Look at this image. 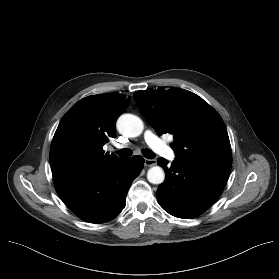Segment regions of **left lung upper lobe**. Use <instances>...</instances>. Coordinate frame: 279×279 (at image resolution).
<instances>
[{
	"label": "left lung upper lobe",
	"instance_id": "obj_1",
	"mask_svg": "<svg viewBox=\"0 0 279 279\" xmlns=\"http://www.w3.org/2000/svg\"><path fill=\"white\" fill-rule=\"evenodd\" d=\"M134 100L158 134L171 133L176 157L232 165L231 146L220 115L198 95L179 88L137 91Z\"/></svg>",
	"mask_w": 279,
	"mask_h": 279
}]
</instances>
